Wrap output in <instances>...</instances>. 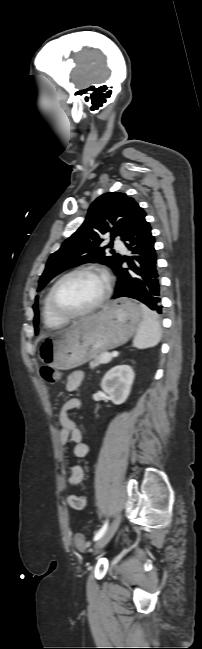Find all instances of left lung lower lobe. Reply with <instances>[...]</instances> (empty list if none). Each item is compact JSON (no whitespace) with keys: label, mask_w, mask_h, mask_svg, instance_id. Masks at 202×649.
<instances>
[{"label":"left lung lower lobe","mask_w":202,"mask_h":649,"mask_svg":"<svg viewBox=\"0 0 202 649\" xmlns=\"http://www.w3.org/2000/svg\"><path fill=\"white\" fill-rule=\"evenodd\" d=\"M126 247L132 251L129 258L120 257L113 266L118 277L112 299L130 297L137 299L157 313H161L157 270V256L154 237L145 216L137 219L122 238ZM126 262L129 268H122Z\"/></svg>","instance_id":"1"}]
</instances>
